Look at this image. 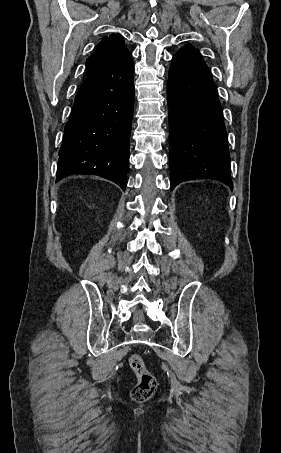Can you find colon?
<instances>
[{"label":"colon","mask_w":281,"mask_h":453,"mask_svg":"<svg viewBox=\"0 0 281 453\" xmlns=\"http://www.w3.org/2000/svg\"><path fill=\"white\" fill-rule=\"evenodd\" d=\"M131 373L136 376L139 383L131 392V399L135 402H145L154 394L157 386L156 378L147 364L137 354L128 358Z\"/></svg>","instance_id":"colon-1"}]
</instances>
